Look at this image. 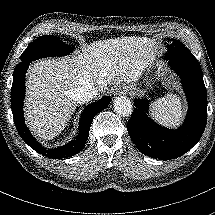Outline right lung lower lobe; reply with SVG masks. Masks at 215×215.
Listing matches in <instances>:
<instances>
[{
    "label": "right lung lower lobe",
    "instance_id": "98d812e1",
    "mask_svg": "<svg viewBox=\"0 0 215 215\" xmlns=\"http://www.w3.org/2000/svg\"><path fill=\"white\" fill-rule=\"evenodd\" d=\"M30 62H20L14 70L13 84L11 88V108L15 126L21 138L36 152L50 159H62L79 153L89 136V129L95 115L105 109L110 103V97L105 96L97 102L87 106L79 121L77 137L68 144L55 149L44 148L32 136L24 123L23 100L25 96V73Z\"/></svg>",
    "mask_w": 215,
    "mask_h": 215
}]
</instances>
